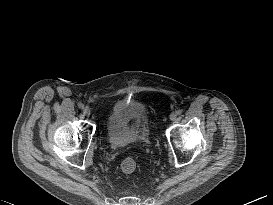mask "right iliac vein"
Wrapping results in <instances>:
<instances>
[{"label": "right iliac vein", "mask_w": 273, "mask_h": 205, "mask_svg": "<svg viewBox=\"0 0 273 205\" xmlns=\"http://www.w3.org/2000/svg\"><path fill=\"white\" fill-rule=\"evenodd\" d=\"M83 114H84L85 116L89 117L90 114H91L90 109H89L88 107H85V108L83 109Z\"/></svg>", "instance_id": "63e3f726"}]
</instances>
